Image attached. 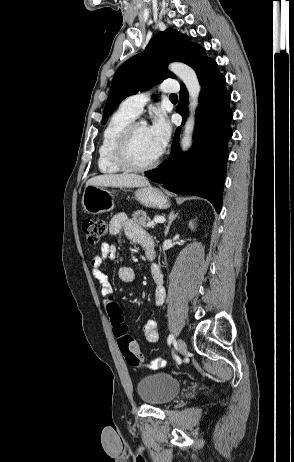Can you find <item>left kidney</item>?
I'll return each instance as SVG.
<instances>
[{
    "mask_svg": "<svg viewBox=\"0 0 294 462\" xmlns=\"http://www.w3.org/2000/svg\"><path fill=\"white\" fill-rule=\"evenodd\" d=\"M189 227H190L192 230L194 229V224L192 223V221H190Z\"/></svg>",
    "mask_w": 294,
    "mask_h": 462,
    "instance_id": "left-kidney-1",
    "label": "left kidney"
}]
</instances>
